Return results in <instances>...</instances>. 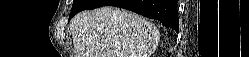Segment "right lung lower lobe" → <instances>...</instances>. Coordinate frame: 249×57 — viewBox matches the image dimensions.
<instances>
[{
  "instance_id": "obj_1",
  "label": "right lung lower lobe",
  "mask_w": 249,
  "mask_h": 57,
  "mask_svg": "<svg viewBox=\"0 0 249 57\" xmlns=\"http://www.w3.org/2000/svg\"><path fill=\"white\" fill-rule=\"evenodd\" d=\"M177 2L178 0H91L88 7L82 10L112 5L159 20L163 26L178 30ZM78 12L80 11L70 15V18Z\"/></svg>"
}]
</instances>
